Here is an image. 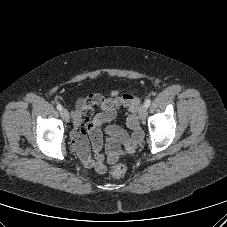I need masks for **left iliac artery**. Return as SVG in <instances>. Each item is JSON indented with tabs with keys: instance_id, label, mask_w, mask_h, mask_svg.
<instances>
[{
	"instance_id": "44dca946",
	"label": "left iliac artery",
	"mask_w": 227,
	"mask_h": 227,
	"mask_svg": "<svg viewBox=\"0 0 227 227\" xmlns=\"http://www.w3.org/2000/svg\"><path fill=\"white\" fill-rule=\"evenodd\" d=\"M151 104V100L149 98H147L144 102V105L148 108Z\"/></svg>"
}]
</instances>
